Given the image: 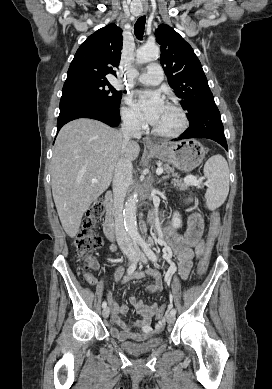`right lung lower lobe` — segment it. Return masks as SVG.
Listing matches in <instances>:
<instances>
[{
    "mask_svg": "<svg viewBox=\"0 0 272 389\" xmlns=\"http://www.w3.org/2000/svg\"><path fill=\"white\" fill-rule=\"evenodd\" d=\"M59 108L60 114L57 120V131H59L64 124L78 118L96 119L111 127L118 126L120 122L119 108H111L88 98H61Z\"/></svg>",
    "mask_w": 272,
    "mask_h": 389,
    "instance_id": "98d812e1",
    "label": "right lung lower lobe"
}]
</instances>
